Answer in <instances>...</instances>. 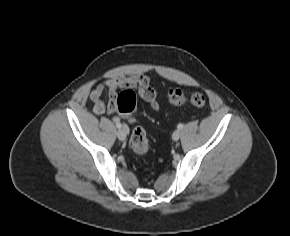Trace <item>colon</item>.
I'll return each instance as SVG.
<instances>
[{
    "instance_id": "colon-1",
    "label": "colon",
    "mask_w": 290,
    "mask_h": 236,
    "mask_svg": "<svg viewBox=\"0 0 290 236\" xmlns=\"http://www.w3.org/2000/svg\"><path fill=\"white\" fill-rule=\"evenodd\" d=\"M169 102L174 106L189 104L195 107H203L206 104V96L201 92H193L186 95L183 91L174 89L169 92ZM116 108L129 118L136 110V95L131 89L124 90L117 95ZM129 145L132 151L138 155H144L149 151L150 143L144 128L137 126L133 129Z\"/></svg>"
}]
</instances>
